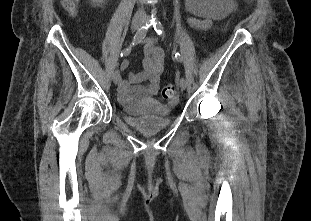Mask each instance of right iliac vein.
<instances>
[{"label":"right iliac vein","instance_id":"1","mask_svg":"<svg viewBox=\"0 0 311 221\" xmlns=\"http://www.w3.org/2000/svg\"><path fill=\"white\" fill-rule=\"evenodd\" d=\"M143 25V22L140 20H134L131 24V28L133 31L138 30ZM113 82L117 84L120 80V73L118 70H115L112 76Z\"/></svg>","mask_w":311,"mask_h":221}]
</instances>
